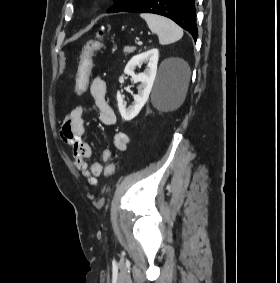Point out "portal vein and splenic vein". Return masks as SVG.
I'll list each match as a JSON object with an SVG mask.
<instances>
[{"instance_id":"portal-vein-and-splenic-vein-1","label":"portal vein and splenic vein","mask_w":280,"mask_h":283,"mask_svg":"<svg viewBox=\"0 0 280 283\" xmlns=\"http://www.w3.org/2000/svg\"><path fill=\"white\" fill-rule=\"evenodd\" d=\"M137 44H138V45H142V42H141V41H138Z\"/></svg>"}]
</instances>
